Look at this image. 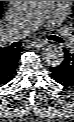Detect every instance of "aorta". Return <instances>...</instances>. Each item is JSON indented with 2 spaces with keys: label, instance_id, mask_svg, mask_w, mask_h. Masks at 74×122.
I'll use <instances>...</instances> for the list:
<instances>
[{
  "label": "aorta",
  "instance_id": "aorta-1",
  "mask_svg": "<svg viewBox=\"0 0 74 122\" xmlns=\"http://www.w3.org/2000/svg\"><path fill=\"white\" fill-rule=\"evenodd\" d=\"M39 1H12L13 7L20 11L26 12L37 7ZM42 60L51 67L59 66L64 60V52L61 46L56 44L46 45L41 53Z\"/></svg>",
  "mask_w": 74,
  "mask_h": 122
}]
</instances>
